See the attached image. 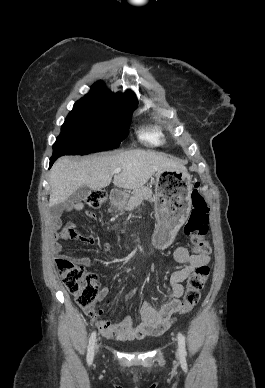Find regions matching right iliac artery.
<instances>
[{"instance_id":"1","label":"right iliac artery","mask_w":265,"mask_h":388,"mask_svg":"<svg viewBox=\"0 0 265 388\" xmlns=\"http://www.w3.org/2000/svg\"><path fill=\"white\" fill-rule=\"evenodd\" d=\"M95 340H96V331H93L89 339V345H88V351H87V363L89 365L93 362V358H94Z\"/></svg>"}]
</instances>
